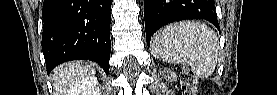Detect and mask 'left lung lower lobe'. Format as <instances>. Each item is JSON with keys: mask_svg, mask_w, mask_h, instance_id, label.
Instances as JSON below:
<instances>
[{"mask_svg": "<svg viewBox=\"0 0 277 95\" xmlns=\"http://www.w3.org/2000/svg\"><path fill=\"white\" fill-rule=\"evenodd\" d=\"M146 40L162 26L179 20L206 19L219 29L214 0H144Z\"/></svg>", "mask_w": 277, "mask_h": 95, "instance_id": "left-lung-lower-lobe-1", "label": "left lung lower lobe"}]
</instances>
